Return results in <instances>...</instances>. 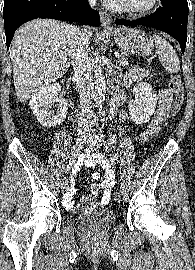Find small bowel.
<instances>
[{
  "label": "small bowel",
  "instance_id": "1",
  "mask_svg": "<svg viewBox=\"0 0 195 270\" xmlns=\"http://www.w3.org/2000/svg\"><path fill=\"white\" fill-rule=\"evenodd\" d=\"M146 76V73L141 70H134L130 72L126 77V83L129 85L134 81H137ZM125 99L124 93L117 94L113 99V110H116L120 104ZM172 102V94L170 90L161 88L159 91V102L158 108L154 114V117L148 124L145 131H143L138 137L140 139H149L153 136L160 128V126L166 121L168 118L170 106ZM120 117L122 119L127 118V114L125 112H120ZM84 164L87 168H94L96 166L100 167L104 171V180L102 182L93 183L91 186L93 195H97L100 191H103L101 197V204H108L111 198V189L115 185V171L112 169V161L106 159L103 153L94 152L89 150L85 155H83L78 162V166ZM100 178V174L98 172H94L92 174L93 180H98ZM75 187H70L67 193L64 196L63 202L67 208H72L74 206V201L72 196L75 194ZM94 200L93 197L87 196L83 199L84 203H91Z\"/></svg>",
  "mask_w": 195,
  "mask_h": 270
}]
</instances>
